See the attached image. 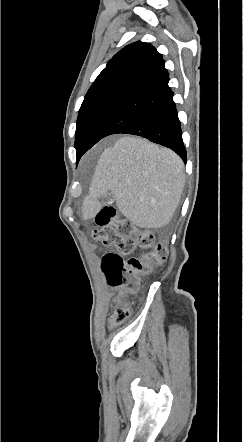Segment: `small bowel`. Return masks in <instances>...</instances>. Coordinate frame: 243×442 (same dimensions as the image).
<instances>
[{"label":"small bowel","mask_w":243,"mask_h":442,"mask_svg":"<svg viewBox=\"0 0 243 442\" xmlns=\"http://www.w3.org/2000/svg\"><path fill=\"white\" fill-rule=\"evenodd\" d=\"M108 323H109L110 326L114 325V324H115L114 317H111V318L109 319Z\"/></svg>","instance_id":"small-bowel-1"}]
</instances>
